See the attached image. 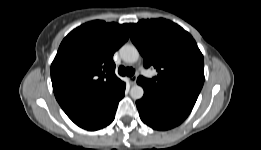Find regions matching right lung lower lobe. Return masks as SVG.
Listing matches in <instances>:
<instances>
[{
  "label": "right lung lower lobe",
  "instance_id": "1",
  "mask_svg": "<svg viewBox=\"0 0 261 150\" xmlns=\"http://www.w3.org/2000/svg\"><path fill=\"white\" fill-rule=\"evenodd\" d=\"M123 96L124 92L121 93L112 102L103 107L101 110L89 116L88 118L76 123V125L91 131L99 130L106 127L114 120L118 103L123 98Z\"/></svg>",
  "mask_w": 261,
  "mask_h": 150
}]
</instances>
